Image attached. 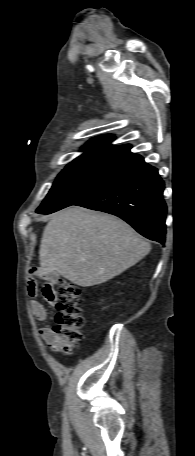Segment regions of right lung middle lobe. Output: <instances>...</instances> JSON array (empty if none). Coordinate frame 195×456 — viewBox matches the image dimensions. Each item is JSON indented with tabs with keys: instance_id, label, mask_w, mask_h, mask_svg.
Here are the masks:
<instances>
[{
	"instance_id": "right-lung-middle-lobe-1",
	"label": "right lung middle lobe",
	"mask_w": 195,
	"mask_h": 456,
	"mask_svg": "<svg viewBox=\"0 0 195 456\" xmlns=\"http://www.w3.org/2000/svg\"><path fill=\"white\" fill-rule=\"evenodd\" d=\"M123 169L92 163H70L58 175L39 210L48 214L87 198L113 180Z\"/></svg>"
}]
</instances>
